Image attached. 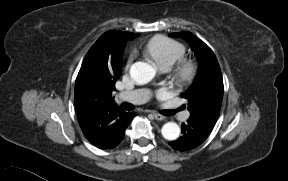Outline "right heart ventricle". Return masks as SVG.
Returning a JSON list of instances; mask_svg holds the SVG:
<instances>
[{"label": "right heart ventricle", "instance_id": "right-heart-ventricle-1", "mask_svg": "<svg viewBox=\"0 0 288 181\" xmlns=\"http://www.w3.org/2000/svg\"><path fill=\"white\" fill-rule=\"evenodd\" d=\"M145 53L159 68L165 66L170 68L185 56L186 48L176 40L158 35L147 43Z\"/></svg>", "mask_w": 288, "mask_h": 181}]
</instances>
